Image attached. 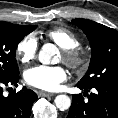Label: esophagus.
<instances>
[{
  "mask_svg": "<svg viewBox=\"0 0 118 118\" xmlns=\"http://www.w3.org/2000/svg\"><path fill=\"white\" fill-rule=\"evenodd\" d=\"M38 95L39 96H42V97H51V96H54L53 93H49V92H45V91H39L38 92Z\"/></svg>",
  "mask_w": 118,
  "mask_h": 118,
  "instance_id": "34e87169",
  "label": "esophagus"
}]
</instances>
